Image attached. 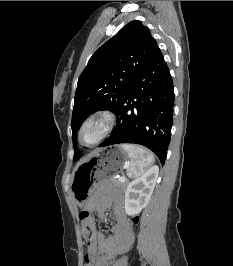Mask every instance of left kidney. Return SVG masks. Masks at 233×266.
<instances>
[{
  "instance_id": "obj_1",
  "label": "left kidney",
  "mask_w": 233,
  "mask_h": 266,
  "mask_svg": "<svg viewBox=\"0 0 233 266\" xmlns=\"http://www.w3.org/2000/svg\"><path fill=\"white\" fill-rule=\"evenodd\" d=\"M159 168L151 167L142 176L131 181L125 191V211L135 216L148 204L157 182Z\"/></svg>"
}]
</instances>
